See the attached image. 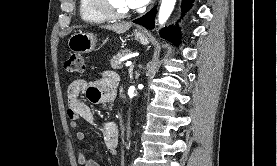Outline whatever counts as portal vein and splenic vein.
<instances>
[{"instance_id": "18ae733b", "label": "portal vein and splenic vein", "mask_w": 277, "mask_h": 166, "mask_svg": "<svg viewBox=\"0 0 277 166\" xmlns=\"http://www.w3.org/2000/svg\"><path fill=\"white\" fill-rule=\"evenodd\" d=\"M131 64H132L131 61H127L125 65H126V67H128V66H130Z\"/></svg>"}]
</instances>
